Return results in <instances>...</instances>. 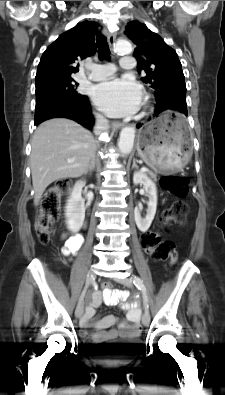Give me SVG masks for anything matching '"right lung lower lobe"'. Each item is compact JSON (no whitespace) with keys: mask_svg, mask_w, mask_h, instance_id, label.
<instances>
[{"mask_svg":"<svg viewBox=\"0 0 225 395\" xmlns=\"http://www.w3.org/2000/svg\"><path fill=\"white\" fill-rule=\"evenodd\" d=\"M57 117L72 119L88 128L94 125V118L87 96L79 98L63 97L35 109L34 124L38 125L45 120Z\"/></svg>","mask_w":225,"mask_h":395,"instance_id":"right-lung-lower-lobe-1","label":"right lung lower lobe"}]
</instances>
